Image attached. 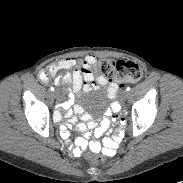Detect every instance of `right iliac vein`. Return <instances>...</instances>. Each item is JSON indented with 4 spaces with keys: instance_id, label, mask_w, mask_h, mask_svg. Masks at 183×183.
I'll return each instance as SVG.
<instances>
[{
    "instance_id": "right-iliac-vein-1",
    "label": "right iliac vein",
    "mask_w": 183,
    "mask_h": 183,
    "mask_svg": "<svg viewBox=\"0 0 183 183\" xmlns=\"http://www.w3.org/2000/svg\"><path fill=\"white\" fill-rule=\"evenodd\" d=\"M55 98H59L60 97V92L58 90L54 91L53 93Z\"/></svg>"
}]
</instances>
